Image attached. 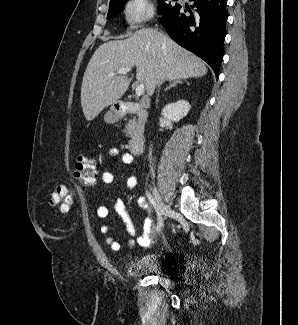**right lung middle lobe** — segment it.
<instances>
[{
	"label": "right lung middle lobe",
	"mask_w": 298,
	"mask_h": 325,
	"mask_svg": "<svg viewBox=\"0 0 298 325\" xmlns=\"http://www.w3.org/2000/svg\"><path fill=\"white\" fill-rule=\"evenodd\" d=\"M126 0H115L114 2H110L109 11L107 15V19H111L117 16L124 8ZM159 7L162 12L169 10L173 6L164 2V0H159Z\"/></svg>",
	"instance_id": "obj_1"
}]
</instances>
